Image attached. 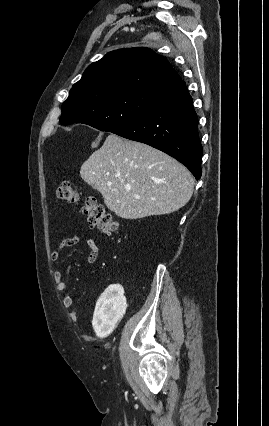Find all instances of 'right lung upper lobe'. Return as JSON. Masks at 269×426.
Masks as SVG:
<instances>
[{
  "instance_id": "right-lung-upper-lobe-1",
  "label": "right lung upper lobe",
  "mask_w": 269,
  "mask_h": 426,
  "mask_svg": "<svg viewBox=\"0 0 269 426\" xmlns=\"http://www.w3.org/2000/svg\"><path fill=\"white\" fill-rule=\"evenodd\" d=\"M168 61L148 48H128L109 52L92 63L70 94L95 97L104 92L141 89L160 92L180 81Z\"/></svg>"
}]
</instances>
